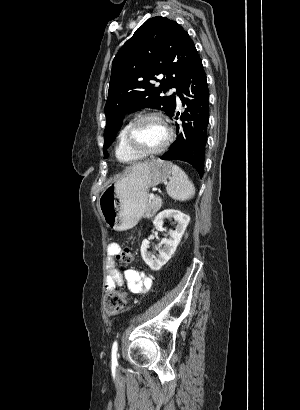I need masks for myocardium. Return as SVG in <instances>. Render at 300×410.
<instances>
[{"mask_svg": "<svg viewBox=\"0 0 300 410\" xmlns=\"http://www.w3.org/2000/svg\"><path fill=\"white\" fill-rule=\"evenodd\" d=\"M148 119L159 120L167 131V137H166L165 142L159 148L155 150L141 149L139 145L136 143L135 138H134V133L138 125ZM172 140H173V130L171 126L169 125L166 118L162 114L157 113V112H147V113L139 115L129 124L126 130V133H125V141H126L127 147L140 157H148V156H155V155L161 154L168 148Z\"/></svg>", "mask_w": 300, "mask_h": 410, "instance_id": "f54148a6", "label": "myocardium"}]
</instances>
